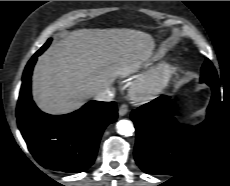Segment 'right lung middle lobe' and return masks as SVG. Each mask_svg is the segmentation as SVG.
Returning <instances> with one entry per match:
<instances>
[{"label":"right lung middle lobe","instance_id":"dd1d6c3e","mask_svg":"<svg viewBox=\"0 0 230 186\" xmlns=\"http://www.w3.org/2000/svg\"><path fill=\"white\" fill-rule=\"evenodd\" d=\"M51 40L52 39H48V41L41 47V49L39 51H37L39 55L47 49V47L49 46Z\"/></svg>","mask_w":230,"mask_h":186}]
</instances>
